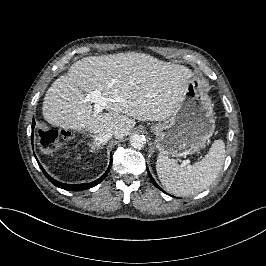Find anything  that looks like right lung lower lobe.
Instances as JSON below:
<instances>
[{
    "label": "right lung lower lobe",
    "mask_w": 266,
    "mask_h": 266,
    "mask_svg": "<svg viewBox=\"0 0 266 266\" xmlns=\"http://www.w3.org/2000/svg\"><path fill=\"white\" fill-rule=\"evenodd\" d=\"M34 127H35V121L33 119V121H32V143H33V131H34ZM35 158H36V156H35ZM36 160H37V158H36ZM38 164H39L40 168L42 169L43 173L45 174V176L55 186H57L59 188H62V189H65V190L80 191V190H85V189H89V188H92V187L96 186L97 184H99L106 177V175L108 174V172L110 170L111 164H112V157H111L110 165H109L107 171L104 173V175L102 177H100L99 179H97V180H95L93 182H90V183L76 184V185L64 184V183H60V182L54 180L52 177H50L47 174V172L44 170V168L42 167V165L39 162H38Z\"/></svg>",
    "instance_id": "right-lung-lower-lobe-1"
}]
</instances>
